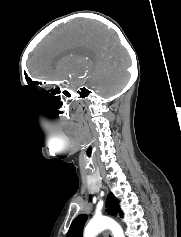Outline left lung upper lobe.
<instances>
[{"mask_svg": "<svg viewBox=\"0 0 181 237\" xmlns=\"http://www.w3.org/2000/svg\"><path fill=\"white\" fill-rule=\"evenodd\" d=\"M106 207L107 211L111 215H117V213H120V216H123L122 211L119 208V202L114 197L112 193L108 195V198L106 200ZM88 215L82 214L77 216L74 221L72 222L66 237H82V232L84 228V224L87 221Z\"/></svg>", "mask_w": 181, "mask_h": 237, "instance_id": "5c2ea615", "label": "left lung upper lobe"}]
</instances>
